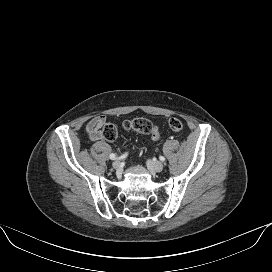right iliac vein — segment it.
<instances>
[{
  "mask_svg": "<svg viewBox=\"0 0 272 272\" xmlns=\"http://www.w3.org/2000/svg\"><path fill=\"white\" fill-rule=\"evenodd\" d=\"M112 166H113L114 169H120L121 168V162L119 160H115L112 163Z\"/></svg>",
  "mask_w": 272,
  "mask_h": 272,
  "instance_id": "obj_1",
  "label": "right iliac vein"
}]
</instances>
